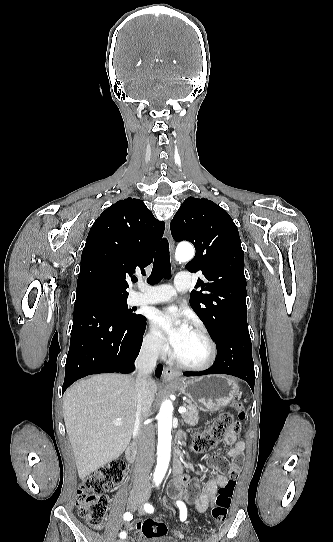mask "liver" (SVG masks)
Segmentation results:
<instances>
[{
    "label": "liver",
    "mask_w": 333,
    "mask_h": 542,
    "mask_svg": "<svg viewBox=\"0 0 333 542\" xmlns=\"http://www.w3.org/2000/svg\"><path fill=\"white\" fill-rule=\"evenodd\" d=\"M135 382L134 376L98 374L65 392L64 422L80 480L125 452L135 424ZM150 390L157 392L154 380Z\"/></svg>",
    "instance_id": "1"
}]
</instances>
